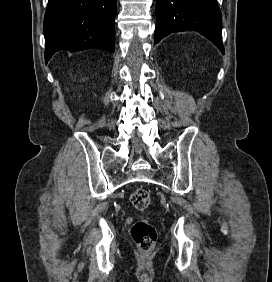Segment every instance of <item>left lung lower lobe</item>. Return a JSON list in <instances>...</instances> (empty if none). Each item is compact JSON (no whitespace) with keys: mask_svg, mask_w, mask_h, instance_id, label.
Instances as JSON below:
<instances>
[{"mask_svg":"<svg viewBox=\"0 0 272 282\" xmlns=\"http://www.w3.org/2000/svg\"><path fill=\"white\" fill-rule=\"evenodd\" d=\"M217 0H156L155 42L173 32L196 30L224 54Z\"/></svg>","mask_w":272,"mask_h":282,"instance_id":"0a47b994","label":"left lung lower lobe"}]
</instances>
